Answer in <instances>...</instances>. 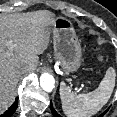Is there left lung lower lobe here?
Instances as JSON below:
<instances>
[{
	"mask_svg": "<svg viewBox=\"0 0 117 117\" xmlns=\"http://www.w3.org/2000/svg\"><path fill=\"white\" fill-rule=\"evenodd\" d=\"M107 111H108V109H107L105 112H103L101 115H99V117H102ZM51 112H52V114H53L55 117H61V116L55 111V109L53 108L52 103H51Z\"/></svg>",
	"mask_w": 117,
	"mask_h": 117,
	"instance_id": "left-lung-lower-lobe-1",
	"label": "left lung lower lobe"
}]
</instances>
